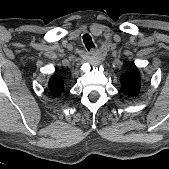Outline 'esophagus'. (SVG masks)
<instances>
[{
    "mask_svg": "<svg viewBox=\"0 0 169 169\" xmlns=\"http://www.w3.org/2000/svg\"><path fill=\"white\" fill-rule=\"evenodd\" d=\"M95 50H96V49L92 48V49H91V52H95Z\"/></svg>",
    "mask_w": 169,
    "mask_h": 169,
    "instance_id": "esophagus-1",
    "label": "esophagus"
}]
</instances>
